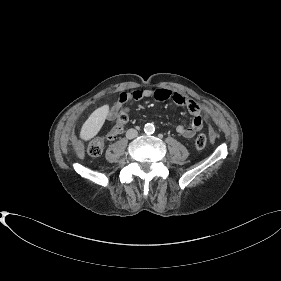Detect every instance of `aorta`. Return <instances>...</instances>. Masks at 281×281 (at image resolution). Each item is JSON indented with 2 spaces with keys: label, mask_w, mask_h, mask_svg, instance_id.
I'll use <instances>...</instances> for the list:
<instances>
[{
  "label": "aorta",
  "mask_w": 281,
  "mask_h": 281,
  "mask_svg": "<svg viewBox=\"0 0 281 281\" xmlns=\"http://www.w3.org/2000/svg\"><path fill=\"white\" fill-rule=\"evenodd\" d=\"M155 131V126L152 123H147L144 126V132L146 134H153Z\"/></svg>",
  "instance_id": "1"
}]
</instances>
